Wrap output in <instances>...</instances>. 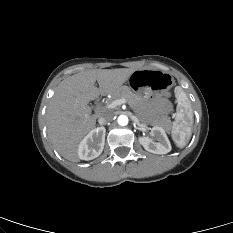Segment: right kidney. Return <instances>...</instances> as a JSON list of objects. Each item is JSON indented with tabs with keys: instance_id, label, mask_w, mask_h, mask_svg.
Segmentation results:
<instances>
[{
	"instance_id": "1",
	"label": "right kidney",
	"mask_w": 233,
	"mask_h": 233,
	"mask_svg": "<svg viewBox=\"0 0 233 233\" xmlns=\"http://www.w3.org/2000/svg\"><path fill=\"white\" fill-rule=\"evenodd\" d=\"M105 133L106 129L104 127L91 130L78 146L79 158L82 160L97 158L104 149Z\"/></svg>"
}]
</instances>
